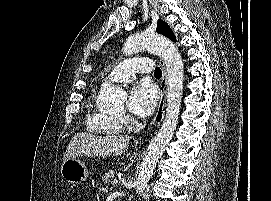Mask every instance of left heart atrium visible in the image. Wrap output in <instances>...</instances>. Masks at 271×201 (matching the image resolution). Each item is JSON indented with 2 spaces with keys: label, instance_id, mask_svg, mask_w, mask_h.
I'll use <instances>...</instances> for the list:
<instances>
[{
  "label": "left heart atrium",
  "instance_id": "1",
  "mask_svg": "<svg viewBox=\"0 0 271 201\" xmlns=\"http://www.w3.org/2000/svg\"><path fill=\"white\" fill-rule=\"evenodd\" d=\"M156 104L157 92L152 84L142 82L134 85L130 90L127 108L133 114L140 117H146L153 112Z\"/></svg>",
  "mask_w": 271,
  "mask_h": 201
}]
</instances>
